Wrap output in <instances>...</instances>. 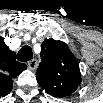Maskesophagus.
I'll return each instance as SVG.
<instances>
[{"mask_svg":"<svg viewBox=\"0 0 103 103\" xmlns=\"http://www.w3.org/2000/svg\"><path fill=\"white\" fill-rule=\"evenodd\" d=\"M37 66V60L36 59H32L28 62V68L30 70H34Z\"/></svg>","mask_w":103,"mask_h":103,"instance_id":"1","label":"esophagus"}]
</instances>
